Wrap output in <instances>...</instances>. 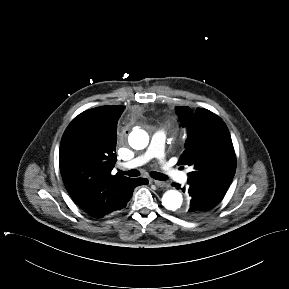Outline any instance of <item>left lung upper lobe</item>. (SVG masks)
<instances>
[{
    "mask_svg": "<svg viewBox=\"0 0 289 289\" xmlns=\"http://www.w3.org/2000/svg\"><path fill=\"white\" fill-rule=\"evenodd\" d=\"M181 127L187 130L185 151L178 164L193 166L188 182L227 190L236 170V156L227 126L216 114L197 108L176 107Z\"/></svg>",
    "mask_w": 289,
    "mask_h": 289,
    "instance_id": "obj_1",
    "label": "left lung upper lobe"
}]
</instances>
